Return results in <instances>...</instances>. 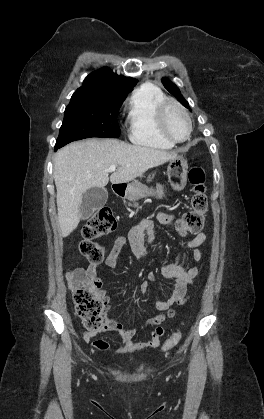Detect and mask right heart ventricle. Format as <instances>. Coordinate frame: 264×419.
<instances>
[{"label": "right heart ventricle", "instance_id": "right-heart-ventricle-1", "mask_svg": "<svg viewBox=\"0 0 264 419\" xmlns=\"http://www.w3.org/2000/svg\"><path fill=\"white\" fill-rule=\"evenodd\" d=\"M166 99L158 87L146 83L131 94L127 102L128 137L136 145L169 150L174 144L166 141L157 129L159 104Z\"/></svg>", "mask_w": 264, "mask_h": 419}]
</instances>
